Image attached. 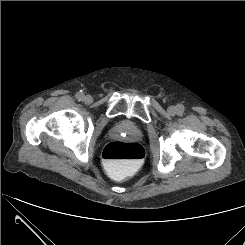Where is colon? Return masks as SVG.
<instances>
[{
  "label": "colon",
  "mask_w": 245,
  "mask_h": 245,
  "mask_svg": "<svg viewBox=\"0 0 245 245\" xmlns=\"http://www.w3.org/2000/svg\"><path fill=\"white\" fill-rule=\"evenodd\" d=\"M145 157L140 144L113 141L103 150V161L114 178L122 179L128 169L138 167Z\"/></svg>",
  "instance_id": "1"
}]
</instances>
